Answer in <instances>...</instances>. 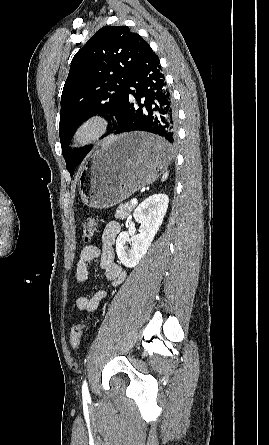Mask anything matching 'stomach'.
Here are the masks:
<instances>
[{
    "mask_svg": "<svg viewBox=\"0 0 269 445\" xmlns=\"http://www.w3.org/2000/svg\"><path fill=\"white\" fill-rule=\"evenodd\" d=\"M159 138L143 132L109 139L97 150L78 179L83 203L96 209L115 206L153 183L171 161L170 152L148 153L145 147Z\"/></svg>",
    "mask_w": 269,
    "mask_h": 445,
    "instance_id": "0dacf381",
    "label": "stomach"
}]
</instances>
